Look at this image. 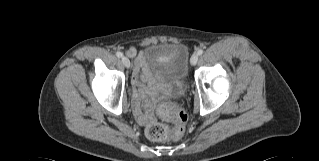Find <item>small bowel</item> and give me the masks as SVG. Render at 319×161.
Wrapping results in <instances>:
<instances>
[{
  "label": "small bowel",
  "instance_id": "obj_1",
  "mask_svg": "<svg viewBox=\"0 0 319 161\" xmlns=\"http://www.w3.org/2000/svg\"><path fill=\"white\" fill-rule=\"evenodd\" d=\"M126 54L130 58H134L137 56L134 62V70L132 74V82L134 85L138 87L137 91L135 92V97L138 101L147 100V110H150V108L152 107V102L150 100V97H152L157 90L153 87L151 88L145 87L143 84L144 81L147 80L149 77L143 69L142 54L139 53L137 55V51L134 47L128 48L126 50ZM135 112L137 117L140 118L141 120H144V121L151 120L150 113L148 111L147 112L142 111L138 105L136 106Z\"/></svg>",
  "mask_w": 319,
  "mask_h": 161
}]
</instances>
